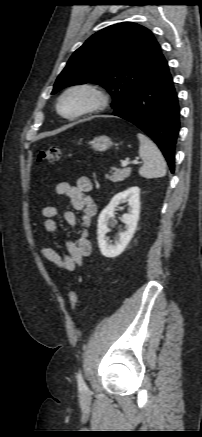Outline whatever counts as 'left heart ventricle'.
Masks as SVG:
<instances>
[{"label": "left heart ventricle", "mask_w": 202, "mask_h": 437, "mask_svg": "<svg viewBox=\"0 0 202 437\" xmlns=\"http://www.w3.org/2000/svg\"><path fill=\"white\" fill-rule=\"evenodd\" d=\"M90 101L91 98L86 93L74 92L63 100L61 109L63 113L71 115L86 107Z\"/></svg>", "instance_id": "left-heart-ventricle-1"}]
</instances>
